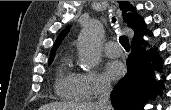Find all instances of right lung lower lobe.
<instances>
[{
  "label": "right lung lower lobe",
  "mask_w": 171,
  "mask_h": 110,
  "mask_svg": "<svg viewBox=\"0 0 171 110\" xmlns=\"http://www.w3.org/2000/svg\"><path fill=\"white\" fill-rule=\"evenodd\" d=\"M151 35V33H148ZM141 38L133 40L131 54L127 59L128 73L111 92V100L119 110H143L141 105L154 98L155 87L161 93L162 81L153 78L156 71L162 67L163 60L155 51L146 53Z\"/></svg>",
  "instance_id": "1"
}]
</instances>
